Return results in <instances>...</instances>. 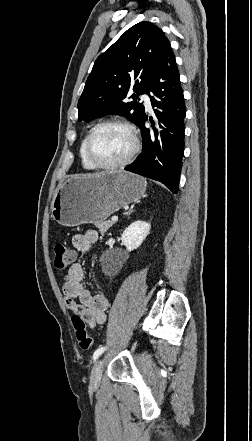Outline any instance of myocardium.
Wrapping results in <instances>:
<instances>
[{
  "label": "myocardium",
  "instance_id": "1",
  "mask_svg": "<svg viewBox=\"0 0 252 441\" xmlns=\"http://www.w3.org/2000/svg\"><path fill=\"white\" fill-rule=\"evenodd\" d=\"M104 126H120L124 129H126L130 135L131 142H132L131 149H130L129 153L123 159H121L117 162L107 163V164L100 163L97 160H95L91 155V152H90L91 140H92L93 136L95 135V133L100 128H102ZM138 150H139V140H138V135H137V131H136L135 127L131 123H129L125 120H121V119H107V120H103V121L97 123L88 133L86 140H85V145H84V153H85L87 160L89 161V163L92 166H94L95 168H99V169H117V168L124 167L125 165H127L128 163H130L132 161V159L138 153Z\"/></svg>",
  "mask_w": 252,
  "mask_h": 441
}]
</instances>
